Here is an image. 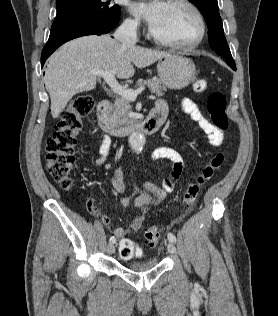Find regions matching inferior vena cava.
Here are the masks:
<instances>
[{
  "label": "inferior vena cava",
  "mask_w": 278,
  "mask_h": 316,
  "mask_svg": "<svg viewBox=\"0 0 278 316\" xmlns=\"http://www.w3.org/2000/svg\"><path fill=\"white\" fill-rule=\"evenodd\" d=\"M114 38L124 46H133L137 43V23L134 21H125L115 31Z\"/></svg>",
  "instance_id": "1"
}]
</instances>
